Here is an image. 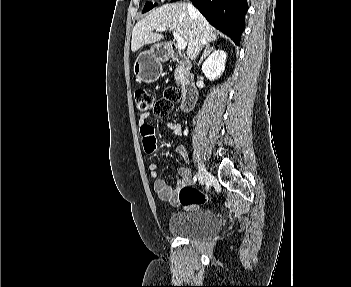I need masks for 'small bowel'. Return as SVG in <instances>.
I'll return each instance as SVG.
<instances>
[{"label":"small bowel","instance_id":"obj_1","mask_svg":"<svg viewBox=\"0 0 351 287\" xmlns=\"http://www.w3.org/2000/svg\"><path fill=\"white\" fill-rule=\"evenodd\" d=\"M150 117L149 113L140 115L138 124L140 126L141 141L143 147L144 156H154L157 149L161 148V143L157 142L156 132L152 122H147ZM166 129L170 130L174 135H182V126L177 122H167L165 124ZM176 152L180 158L184 161H188V153L186 147L183 144H179L176 147ZM149 172L154 180V190L158 194L159 198L164 201L170 202L172 205L178 206V192L179 190L189 183L191 171L188 167L182 166L178 169L180 179L176 182V187L172 188L164 180L157 178V164L154 162L148 165Z\"/></svg>","mask_w":351,"mask_h":287}]
</instances>
